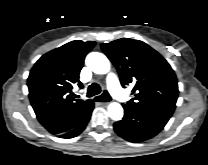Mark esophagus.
Returning <instances> with one entry per match:
<instances>
[{
    "label": "esophagus",
    "instance_id": "1",
    "mask_svg": "<svg viewBox=\"0 0 208 165\" xmlns=\"http://www.w3.org/2000/svg\"><path fill=\"white\" fill-rule=\"evenodd\" d=\"M95 101H96V97H95ZM110 101H111V98H110V100L109 101H107V102H99L100 104H109L110 103Z\"/></svg>",
    "mask_w": 208,
    "mask_h": 165
}]
</instances>
